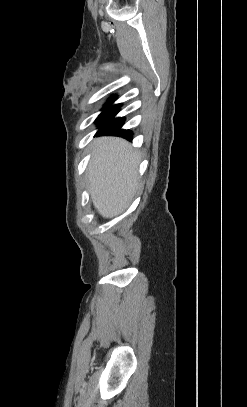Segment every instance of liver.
<instances>
[{"mask_svg": "<svg viewBox=\"0 0 247 407\" xmlns=\"http://www.w3.org/2000/svg\"><path fill=\"white\" fill-rule=\"evenodd\" d=\"M88 166L91 200L104 218L122 213L138 188L139 154L127 141L117 137L100 138Z\"/></svg>", "mask_w": 247, "mask_h": 407, "instance_id": "1", "label": "liver"}]
</instances>
